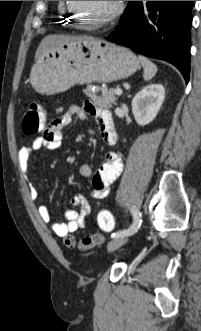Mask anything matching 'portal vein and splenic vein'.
<instances>
[{
    "label": "portal vein and splenic vein",
    "mask_w": 201,
    "mask_h": 331,
    "mask_svg": "<svg viewBox=\"0 0 201 331\" xmlns=\"http://www.w3.org/2000/svg\"><path fill=\"white\" fill-rule=\"evenodd\" d=\"M114 93H115L116 95H122L123 91H122L120 88H117V89L114 91Z\"/></svg>",
    "instance_id": "portal-vein-and-splenic-vein-1"
}]
</instances>
